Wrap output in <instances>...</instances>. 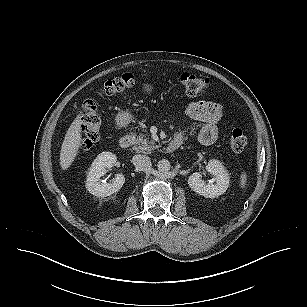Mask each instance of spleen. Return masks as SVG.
I'll return each instance as SVG.
<instances>
[{
	"mask_svg": "<svg viewBox=\"0 0 307 307\" xmlns=\"http://www.w3.org/2000/svg\"><path fill=\"white\" fill-rule=\"evenodd\" d=\"M240 178H241V180H240V186H241L242 188H245V186H246V181H247V174H246V172H243V173L241 174Z\"/></svg>",
	"mask_w": 307,
	"mask_h": 307,
	"instance_id": "1",
	"label": "spleen"
}]
</instances>
